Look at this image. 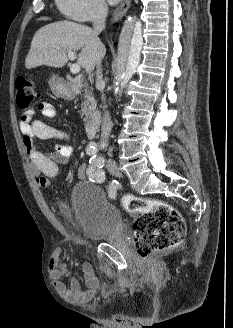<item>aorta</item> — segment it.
I'll use <instances>...</instances> for the list:
<instances>
[{
	"label": "aorta",
	"mask_w": 233,
	"mask_h": 328,
	"mask_svg": "<svg viewBox=\"0 0 233 328\" xmlns=\"http://www.w3.org/2000/svg\"><path fill=\"white\" fill-rule=\"evenodd\" d=\"M143 46L141 23L128 18L122 29L118 41V57L114 90L117 93L119 86L124 87L135 74L140 62Z\"/></svg>",
	"instance_id": "aorta-1"
}]
</instances>
